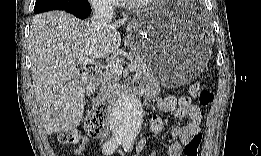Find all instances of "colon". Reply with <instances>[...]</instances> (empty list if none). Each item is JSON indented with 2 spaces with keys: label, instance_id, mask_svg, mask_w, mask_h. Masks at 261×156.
I'll return each mask as SVG.
<instances>
[{
  "label": "colon",
  "instance_id": "1",
  "mask_svg": "<svg viewBox=\"0 0 261 156\" xmlns=\"http://www.w3.org/2000/svg\"><path fill=\"white\" fill-rule=\"evenodd\" d=\"M189 93L193 97H198L202 106L212 103L214 95L207 89H202L200 82L191 84ZM85 130L91 137L104 136L108 131L107 110L104 106L94 109L85 122ZM58 141L62 144L78 145L81 142V135L78 131H65L59 134ZM202 142V134L196 133L184 146L185 156H197Z\"/></svg>",
  "mask_w": 261,
  "mask_h": 156
}]
</instances>
